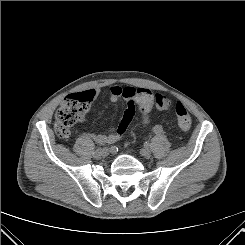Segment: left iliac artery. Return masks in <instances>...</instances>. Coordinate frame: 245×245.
Masks as SVG:
<instances>
[{
	"label": "left iliac artery",
	"instance_id": "obj_1",
	"mask_svg": "<svg viewBox=\"0 0 245 245\" xmlns=\"http://www.w3.org/2000/svg\"><path fill=\"white\" fill-rule=\"evenodd\" d=\"M153 130H154L155 133L158 134V133H160V132L162 131V128H161L160 126L157 125V126L154 127Z\"/></svg>",
	"mask_w": 245,
	"mask_h": 245
}]
</instances>
